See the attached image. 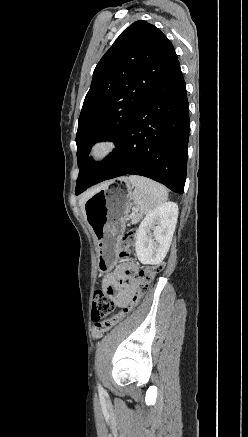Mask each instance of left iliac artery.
Wrapping results in <instances>:
<instances>
[{
  "label": "left iliac artery",
  "instance_id": "44dca946",
  "mask_svg": "<svg viewBox=\"0 0 248 437\" xmlns=\"http://www.w3.org/2000/svg\"><path fill=\"white\" fill-rule=\"evenodd\" d=\"M98 388H99V390H103V388L101 387V385H100V384L98 385Z\"/></svg>",
  "mask_w": 248,
  "mask_h": 437
}]
</instances>
